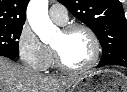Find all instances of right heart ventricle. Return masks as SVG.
I'll use <instances>...</instances> for the list:
<instances>
[{
  "label": "right heart ventricle",
  "mask_w": 127,
  "mask_h": 92,
  "mask_svg": "<svg viewBox=\"0 0 127 92\" xmlns=\"http://www.w3.org/2000/svg\"><path fill=\"white\" fill-rule=\"evenodd\" d=\"M52 62H53V55L51 56V61H50V64L49 65H51Z\"/></svg>",
  "instance_id": "right-heart-ventricle-1"
}]
</instances>
